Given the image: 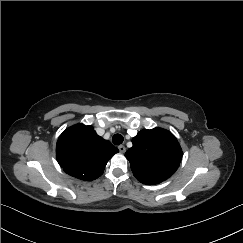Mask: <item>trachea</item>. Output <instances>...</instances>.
<instances>
[{"label": "trachea", "mask_w": 243, "mask_h": 243, "mask_svg": "<svg viewBox=\"0 0 243 243\" xmlns=\"http://www.w3.org/2000/svg\"><path fill=\"white\" fill-rule=\"evenodd\" d=\"M124 140V137L121 135V134H115L113 137H112V142L115 144V145H120Z\"/></svg>", "instance_id": "3493384b"}]
</instances>
